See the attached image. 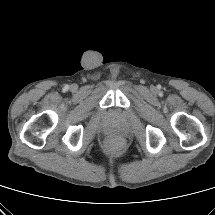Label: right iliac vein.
Instances as JSON below:
<instances>
[{"instance_id": "63e3f726", "label": "right iliac vein", "mask_w": 215, "mask_h": 215, "mask_svg": "<svg viewBox=\"0 0 215 215\" xmlns=\"http://www.w3.org/2000/svg\"><path fill=\"white\" fill-rule=\"evenodd\" d=\"M71 89H72V90H75V89H76V86H75V85H72V86H71Z\"/></svg>"}]
</instances>
